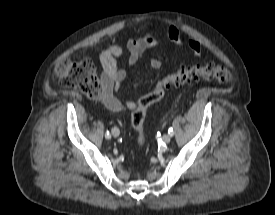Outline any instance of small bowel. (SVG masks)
Returning a JSON list of instances; mask_svg holds the SVG:
<instances>
[{
  "mask_svg": "<svg viewBox=\"0 0 275 215\" xmlns=\"http://www.w3.org/2000/svg\"><path fill=\"white\" fill-rule=\"evenodd\" d=\"M168 37L174 45H182V39L176 27L171 26L169 28ZM186 44L192 55L200 56L202 54V46L198 41L189 39ZM126 46L129 52L127 64L129 67H133L144 57L147 50L156 46L155 33L154 31H149L140 37H130L127 40ZM123 58V49L115 43L110 44L107 48L102 50L99 55V61L102 67V101L112 112H120L123 107L121 101L115 95V91L121 88L127 75V70L119 65V60ZM173 60L176 61L175 59ZM150 66L153 70H159L162 63L159 58L152 57L150 58ZM136 105V102L133 100H127L125 102V106L129 110L135 109Z\"/></svg>",
  "mask_w": 275,
  "mask_h": 215,
  "instance_id": "1",
  "label": "small bowel"
}]
</instances>
